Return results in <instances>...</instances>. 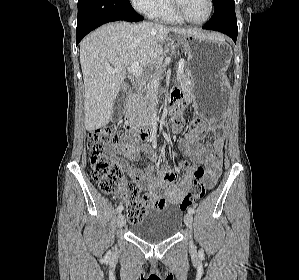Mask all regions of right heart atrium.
<instances>
[{
    "instance_id": "obj_1",
    "label": "right heart atrium",
    "mask_w": 299,
    "mask_h": 280,
    "mask_svg": "<svg viewBox=\"0 0 299 280\" xmlns=\"http://www.w3.org/2000/svg\"><path fill=\"white\" fill-rule=\"evenodd\" d=\"M131 5L139 12L149 14L157 0H129Z\"/></svg>"
}]
</instances>
